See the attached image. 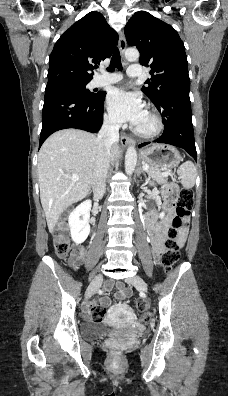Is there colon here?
Wrapping results in <instances>:
<instances>
[{
	"instance_id": "colon-1",
	"label": "colon",
	"mask_w": 228,
	"mask_h": 396,
	"mask_svg": "<svg viewBox=\"0 0 228 396\" xmlns=\"http://www.w3.org/2000/svg\"><path fill=\"white\" fill-rule=\"evenodd\" d=\"M168 193L171 198L177 199L176 216L173 219L172 227L168 231L165 240V250L162 253V264L169 270L179 259V237L180 232L186 227V219L193 206L194 196L191 190L179 188L171 183L168 186ZM54 249L58 256L66 257L69 254L70 243L67 234V224L65 221L58 222L53 228ZM137 309L143 313L141 319L144 323L151 320L150 314L146 313L147 303L144 300L136 302ZM91 317L100 320L105 315V309L101 305H94L91 310Z\"/></svg>"
}]
</instances>
